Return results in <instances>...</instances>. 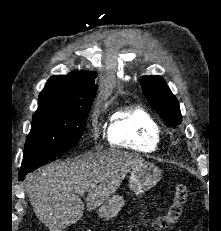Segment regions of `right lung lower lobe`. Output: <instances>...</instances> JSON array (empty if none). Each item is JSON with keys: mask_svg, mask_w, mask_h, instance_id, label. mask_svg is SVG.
Segmentation results:
<instances>
[{"mask_svg": "<svg viewBox=\"0 0 221 231\" xmlns=\"http://www.w3.org/2000/svg\"><path fill=\"white\" fill-rule=\"evenodd\" d=\"M55 158H50V159H46V160H43L41 162H38V163H35L33 165H31L30 167H26V168H22L19 170V180H24L25 178V175L37 168H39L40 166L42 165H45L49 162H52Z\"/></svg>", "mask_w": 221, "mask_h": 231, "instance_id": "obj_1", "label": "right lung lower lobe"}]
</instances>
